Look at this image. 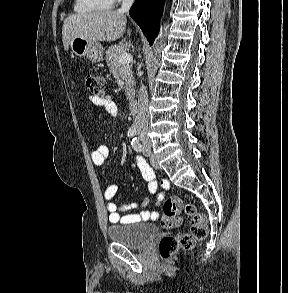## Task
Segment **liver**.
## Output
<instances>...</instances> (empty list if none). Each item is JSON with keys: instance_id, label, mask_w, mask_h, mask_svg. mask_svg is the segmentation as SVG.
<instances>
[{"instance_id": "liver-1", "label": "liver", "mask_w": 288, "mask_h": 293, "mask_svg": "<svg viewBox=\"0 0 288 293\" xmlns=\"http://www.w3.org/2000/svg\"><path fill=\"white\" fill-rule=\"evenodd\" d=\"M127 18L118 11H95L70 15L64 21L62 40L64 49L68 51L74 37H83L93 42L115 41L123 36ZM128 35L131 30L128 29Z\"/></svg>"}]
</instances>
